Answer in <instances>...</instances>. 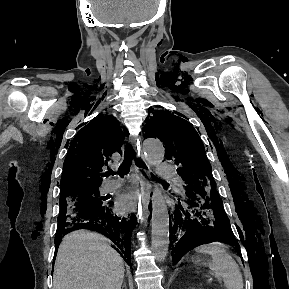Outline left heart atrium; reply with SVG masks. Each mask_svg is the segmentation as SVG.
Instances as JSON below:
<instances>
[{"label":"left heart atrium","instance_id":"left-heart-atrium-1","mask_svg":"<svg viewBox=\"0 0 289 289\" xmlns=\"http://www.w3.org/2000/svg\"><path fill=\"white\" fill-rule=\"evenodd\" d=\"M144 197L140 193H131L123 195L117 202V208L120 212L126 213L137 208L143 201Z\"/></svg>","mask_w":289,"mask_h":289}]
</instances>
